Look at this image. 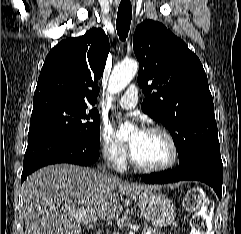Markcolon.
Returning a JSON list of instances; mask_svg holds the SVG:
<instances>
[{"instance_id":"colon-1","label":"colon","mask_w":241,"mask_h":234,"mask_svg":"<svg viewBox=\"0 0 241 234\" xmlns=\"http://www.w3.org/2000/svg\"><path fill=\"white\" fill-rule=\"evenodd\" d=\"M185 208L190 212H194L191 220V234H208L207 217L211 212V205L206 200L202 189L195 188L188 193Z\"/></svg>"}]
</instances>
